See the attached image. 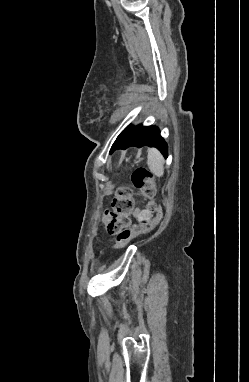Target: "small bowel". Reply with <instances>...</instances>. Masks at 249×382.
I'll return each mask as SVG.
<instances>
[{"instance_id":"obj_1","label":"small bowel","mask_w":249,"mask_h":382,"mask_svg":"<svg viewBox=\"0 0 249 382\" xmlns=\"http://www.w3.org/2000/svg\"><path fill=\"white\" fill-rule=\"evenodd\" d=\"M143 214V211H140L139 209L135 210L133 215L136 217H140Z\"/></svg>"}]
</instances>
